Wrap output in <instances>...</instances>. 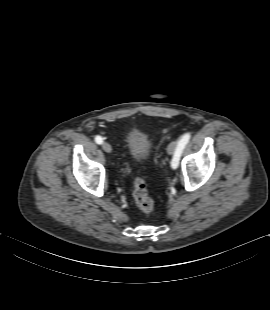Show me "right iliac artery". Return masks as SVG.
<instances>
[{
  "label": "right iliac artery",
  "instance_id": "82829eb1",
  "mask_svg": "<svg viewBox=\"0 0 270 310\" xmlns=\"http://www.w3.org/2000/svg\"><path fill=\"white\" fill-rule=\"evenodd\" d=\"M95 142H96L97 144H102V143H103V138H102L101 136H96V137H95Z\"/></svg>",
  "mask_w": 270,
  "mask_h": 310
}]
</instances>
